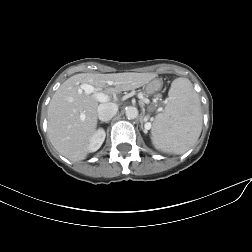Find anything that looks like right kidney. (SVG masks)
Returning a JSON list of instances; mask_svg holds the SVG:
<instances>
[{"label":"right kidney","instance_id":"1","mask_svg":"<svg viewBox=\"0 0 252 252\" xmlns=\"http://www.w3.org/2000/svg\"><path fill=\"white\" fill-rule=\"evenodd\" d=\"M105 131L103 129H98L91 137L89 145H88V151L89 152H95L97 151L102 143L105 140Z\"/></svg>","mask_w":252,"mask_h":252}]
</instances>
